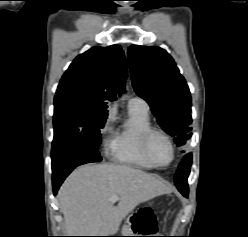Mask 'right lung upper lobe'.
I'll list each match as a JSON object with an SVG mask.
<instances>
[{
  "label": "right lung upper lobe",
  "mask_w": 248,
  "mask_h": 237,
  "mask_svg": "<svg viewBox=\"0 0 248 237\" xmlns=\"http://www.w3.org/2000/svg\"><path fill=\"white\" fill-rule=\"evenodd\" d=\"M126 77V58L119 45L93 47L77 56L64 73L54 103L71 102L107 113L104 100H116L117 86Z\"/></svg>",
  "instance_id": "cb5924a9"
}]
</instances>
